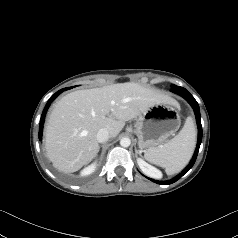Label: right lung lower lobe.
Segmentation results:
<instances>
[{
	"label": "right lung lower lobe",
	"mask_w": 238,
	"mask_h": 238,
	"mask_svg": "<svg viewBox=\"0 0 238 238\" xmlns=\"http://www.w3.org/2000/svg\"><path fill=\"white\" fill-rule=\"evenodd\" d=\"M71 87H67V88H63L59 91H57L47 102L44 110H43V113H42V116H41V119H40V126H39V139L41 140L42 139V131H43V124H44V119H45V115H46V112L51 104V102L60 94L62 93L63 91L65 90H68L70 89Z\"/></svg>",
	"instance_id": "1"
}]
</instances>
